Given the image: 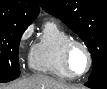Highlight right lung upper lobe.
<instances>
[{
  "label": "right lung upper lobe",
  "mask_w": 107,
  "mask_h": 89,
  "mask_svg": "<svg viewBox=\"0 0 107 89\" xmlns=\"http://www.w3.org/2000/svg\"><path fill=\"white\" fill-rule=\"evenodd\" d=\"M38 14V0H0V21L30 25Z\"/></svg>",
  "instance_id": "1"
}]
</instances>
